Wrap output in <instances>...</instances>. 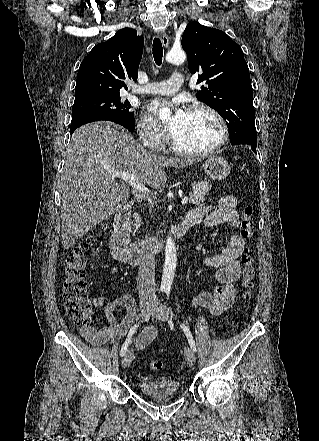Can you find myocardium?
Listing matches in <instances>:
<instances>
[{"label":"myocardium","mask_w":319,"mask_h":441,"mask_svg":"<svg viewBox=\"0 0 319 441\" xmlns=\"http://www.w3.org/2000/svg\"><path fill=\"white\" fill-rule=\"evenodd\" d=\"M196 111H204L207 112L208 114H210L218 123L219 128H220V138L218 140V142L213 145L212 147L208 148V149H204V150H188L185 148H182L173 138V136H171L170 138V144L172 149L183 156H190V157H204V156H209L214 154L215 152H217L218 150H220L227 142L228 140V127L226 124V121L224 120V118L221 116V114L215 110L214 108H212L209 105L203 104V103H195L192 104L188 107L187 112H196Z\"/></svg>","instance_id":"1"}]
</instances>
